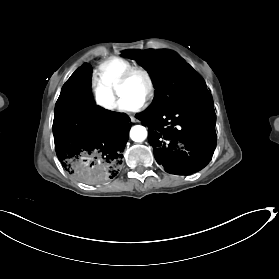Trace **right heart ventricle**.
Instances as JSON below:
<instances>
[{"mask_svg": "<svg viewBox=\"0 0 279 279\" xmlns=\"http://www.w3.org/2000/svg\"><path fill=\"white\" fill-rule=\"evenodd\" d=\"M131 67H135L134 64L124 58L109 57L101 61L94 69L93 83L101 84L116 93L120 77Z\"/></svg>", "mask_w": 279, "mask_h": 279, "instance_id": "right-heart-ventricle-1", "label": "right heart ventricle"}]
</instances>
